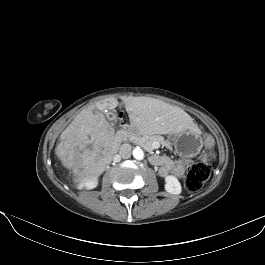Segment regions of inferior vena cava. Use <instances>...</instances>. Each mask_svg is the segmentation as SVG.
<instances>
[{
  "instance_id": "inferior-vena-cava-1",
  "label": "inferior vena cava",
  "mask_w": 265,
  "mask_h": 265,
  "mask_svg": "<svg viewBox=\"0 0 265 265\" xmlns=\"http://www.w3.org/2000/svg\"><path fill=\"white\" fill-rule=\"evenodd\" d=\"M131 145L128 144V143H124L120 146L119 148V155L120 157L124 158V159H127V158H130L131 156Z\"/></svg>"
}]
</instances>
